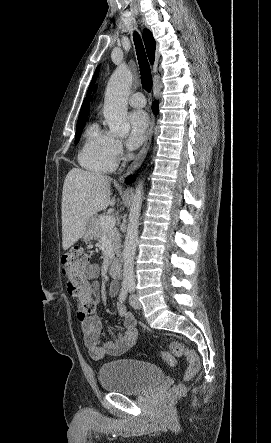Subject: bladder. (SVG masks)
I'll use <instances>...</instances> for the list:
<instances>
[{
    "label": "bladder",
    "mask_w": 271,
    "mask_h": 443,
    "mask_svg": "<svg viewBox=\"0 0 271 443\" xmlns=\"http://www.w3.org/2000/svg\"><path fill=\"white\" fill-rule=\"evenodd\" d=\"M163 377L158 366L135 359L112 360L99 369V382L103 389L127 395L150 389Z\"/></svg>",
    "instance_id": "1"
}]
</instances>
